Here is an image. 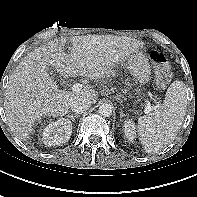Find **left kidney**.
<instances>
[{
	"label": "left kidney",
	"mask_w": 197,
	"mask_h": 197,
	"mask_svg": "<svg viewBox=\"0 0 197 197\" xmlns=\"http://www.w3.org/2000/svg\"><path fill=\"white\" fill-rule=\"evenodd\" d=\"M124 132L128 140L133 141L136 133H135V124L131 119L125 121Z\"/></svg>",
	"instance_id": "5707ae66"
}]
</instances>
